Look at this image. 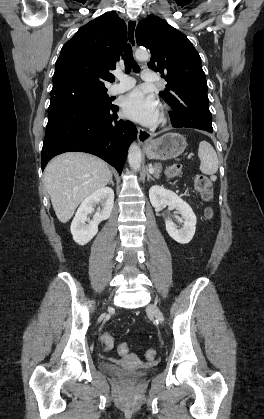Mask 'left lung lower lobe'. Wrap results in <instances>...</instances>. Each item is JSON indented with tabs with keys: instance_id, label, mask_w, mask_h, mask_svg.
Masks as SVG:
<instances>
[{
	"instance_id": "1",
	"label": "left lung lower lobe",
	"mask_w": 264,
	"mask_h": 419,
	"mask_svg": "<svg viewBox=\"0 0 264 419\" xmlns=\"http://www.w3.org/2000/svg\"><path fill=\"white\" fill-rule=\"evenodd\" d=\"M184 99V102L171 107L172 126L176 128H196L212 133V117L209 111L207 94L200 93Z\"/></svg>"
}]
</instances>
